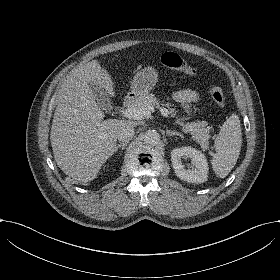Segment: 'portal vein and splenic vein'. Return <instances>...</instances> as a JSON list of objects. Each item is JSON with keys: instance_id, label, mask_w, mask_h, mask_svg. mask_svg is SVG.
<instances>
[{"instance_id": "portal-vein-and-splenic-vein-1", "label": "portal vein and splenic vein", "mask_w": 280, "mask_h": 280, "mask_svg": "<svg viewBox=\"0 0 280 280\" xmlns=\"http://www.w3.org/2000/svg\"><path fill=\"white\" fill-rule=\"evenodd\" d=\"M153 111H154V107L148 105L147 107L144 108H140V107L128 108L123 112V114L130 119L143 120L145 118H149ZM159 111L163 116H168L170 113L165 106H161L159 108Z\"/></svg>"}]
</instances>
